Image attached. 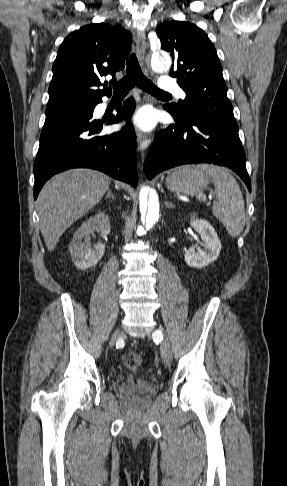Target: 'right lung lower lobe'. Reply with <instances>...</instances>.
Masks as SVG:
<instances>
[{
	"label": "right lung lower lobe",
	"instance_id": "98d812e1",
	"mask_svg": "<svg viewBox=\"0 0 287 486\" xmlns=\"http://www.w3.org/2000/svg\"><path fill=\"white\" fill-rule=\"evenodd\" d=\"M101 101L92 103L84 117L44 125L33 170L34 199L51 176L70 168L97 169L115 179L137 185L136 135L129 122L135 102L133 98L125 101L117 108V115L107 122L114 124L126 119L127 124L120 132L100 135L103 121L92 117L95 106Z\"/></svg>",
	"mask_w": 287,
	"mask_h": 486
}]
</instances>
